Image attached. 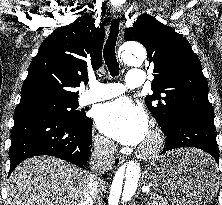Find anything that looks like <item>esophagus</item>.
<instances>
[{
  "label": "esophagus",
  "mask_w": 222,
  "mask_h": 205,
  "mask_svg": "<svg viewBox=\"0 0 222 205\" xmlns=\"http://www.w3.org/2000/svg\"><path fill=\"white\" fill-rule=\"evenodd\" d=\"M111 15L113 18H119L121 17V8L119 6H114L112 7L111 9ZM125 159L124 157L120 156V155H117L113 158V163L118 166L120 165L122 162H124Z\"/></svg>",
  "instance_id": "esophagus-1"
}]
</instances>
